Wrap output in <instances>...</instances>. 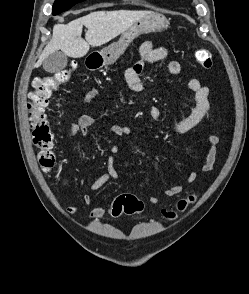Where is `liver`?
Here are the masks:
<instances>
[{"instance_id":"liver-1","label":"liver","mask_w":249,"mask_h":294,"mask_svg":"<svg viewBox=\"0 0 249 294\" xmlns=\"http://www.w3.org/2000/svg\"><path fill=\"white\" fill-rule=\"evenodd\" d=\"M150 11H95L70 23L56 24L50 42L46 45L35 67L52 53L61 50L72 58L85 56L90 45L100 47L128 30L136 21ZM83 26L87 28L85 39L81 37Z\"/></svg>"}]
</instances>
